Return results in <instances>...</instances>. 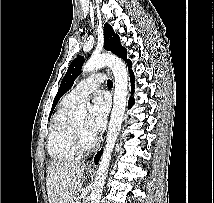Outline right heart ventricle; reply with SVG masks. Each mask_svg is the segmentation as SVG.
Masks as SVG:
<instances>
[{"mask_svg":"<svg viewBox=\"0 0 214 203\" xmlns=\"http://www.w3.org/2000/svg\"><path fill=\"white\" fill-rule=\"evenodd\" d=\"M76 104L77 102L65 96L50 122L47 149L56 162H68L79 155L72 144L73 122L69 118V113Z\"/></svg>","mask_w":214,"mask_h":203,"instance_id":"1","label":"right heart ventricle"}]
</instances>
